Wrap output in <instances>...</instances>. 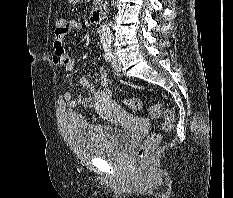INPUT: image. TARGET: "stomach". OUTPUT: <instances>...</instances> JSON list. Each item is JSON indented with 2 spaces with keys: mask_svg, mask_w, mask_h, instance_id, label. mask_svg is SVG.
<instances>
[{
  "mask_svg": "<svg viewBox=\"0 0 233 198\" xmlns=\"http://www.w3.org/2000/svg\"><path fill=\"white\" fill-rule=\"evenodd\" d=\"M80 0H68V2L72 5H75L79 2Z\"/></svg>",
  "mask_w": 233,
  "mask_h": 198,
  "instance_id": "stomach-1",
  "label": "stomach"
}]
</instances>
